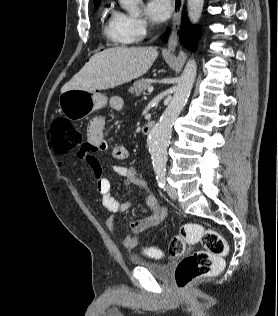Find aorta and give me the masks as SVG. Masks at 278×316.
I'll return each instance as SVG.
<instances>
[{
  "label": "aorta",
  "mask_w": 278,
  "mask_h": 316,
  "mask_svg": "<svg viewBox=\"0 0 278 316\" xmlns=\"http://www.w3.org/2000/svg\"><path fill=\"white\" fill-rule=\"evenodd\" d=\"M141 0H120L122 8L131 16L137 17L140 14ZM204 0H188V16L191 23L196 24L202 14ZM197 74V65L194 59H190L176 86L173 98L163 112L159 122L151 129L147 145L151 155L153 168L156 171H163L167 162V148L171 140L172 127L182 111L193 88Z\"/></svg>",
  "instance_id": "aorta-1"
}]
</instances>
